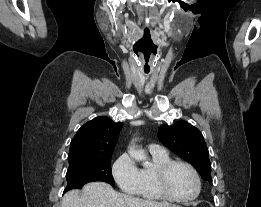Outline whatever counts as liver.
<instances>
[{
    "mask_svg": "<svg viewBox=\"0 0 261 207\" xmlns=\"http://www.w3.org/2000/svg\"><path fill=\"white\" fill-rule=\"evenodd\" d=\"M166 202L141 199L116 192L105 182H90L82 189L67 192L61 207H168Z\"/></svg>",
    "mask_w": 261,
    "mask_h": 207,
    "instance_id": "6515ba94",
    "label": "liver"
}]
</instances>
